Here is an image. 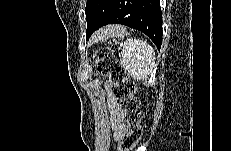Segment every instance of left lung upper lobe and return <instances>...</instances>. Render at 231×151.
I'll return each mask as SVG.
<instances>
[{
  "mask_svg": "<svg viewBox=\"0 0 231 151\" xmlns=\"http://www.w3.org/2000/svg\"><path fill=\"white\" fill-rule=\"evenodd\" d=\"M112 0H87L85 14L87 21L86 33L95 29L102 19Z\"/></svg>",
  "mask_w": 231,
  "mask_h": 151,
  "instance_id": "1",
  "label": "left lung upper lobe"
}]
</instances>
